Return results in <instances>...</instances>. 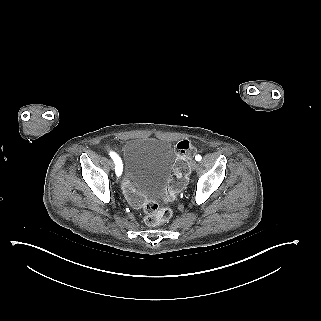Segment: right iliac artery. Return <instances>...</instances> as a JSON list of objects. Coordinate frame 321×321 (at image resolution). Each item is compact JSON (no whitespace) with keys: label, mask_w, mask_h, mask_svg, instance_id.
<instances>
[{"label":"right iliac artery","mask_w":321,"mask_h":321,"mask_svg":"<svg viewBox=\"0 0 321 321\" xmlns=\"http://www.w3.org/2000/svg\"><path fill=\"white\" fill-rule=\"evenodd\" d=\"M110 156L116 165V169H115L116 175H120L122 169H121L120 159H119L118 155L115 154L114 152H110Z\"/></svg>","instance_id":"82829eb1"}]
</instances>
